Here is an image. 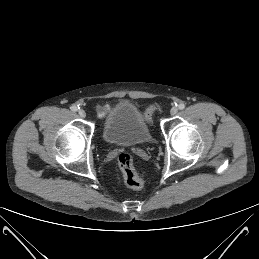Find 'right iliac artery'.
Returning <instances> with one entry per match:
<instances>
[{
    "label": "right iliac artery",
    "instance_id": "82829eb1",
    "mask_svg": "<svg viewBox=\"0 0 259 259\" xmlns=\"http://www.w3.org/2000/svg\"><path fill=\"white\" fill-rule=\"evenodd\" d=\"M70 109H71L73 112H77V111H78V107H76V106H72Z\"/></svg>",
    "mask_w": 259,
    "mask_h": 259
}]
</instances>
